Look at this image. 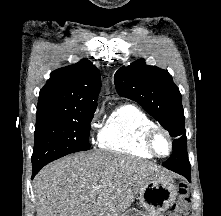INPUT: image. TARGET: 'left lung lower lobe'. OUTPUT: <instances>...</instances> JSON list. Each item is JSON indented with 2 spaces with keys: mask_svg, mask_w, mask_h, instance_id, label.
<instances>
[{
  "mask_svg": "<svg viewBox=\"0 0 221 216\" xmlns=\"http://www.w3.org/2000/svg\"><path fill=\"white\" fill-rule=\"evenodd\" d=\"M171 165L164 166L180 175L185 176L190 181V163L187 152L177 150L173 151L171 155Z\"/></svg>",
  "mask_w": 221,
  "mask_h": 216,
  "instance_id": "1",
  "label": "left lung lower lobe"
}]
</instances>
